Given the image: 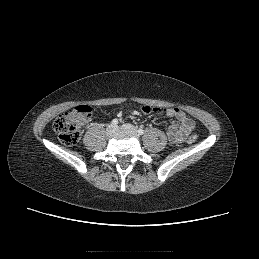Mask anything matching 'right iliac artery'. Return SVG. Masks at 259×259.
Segmentation results:
<instances>
[{"label":"right iliac artery","mask_w":259,"mask_h":259,"mask_svg":"<svg viewBox=\"0 0 259 259\" xmlns=\"http://www.w3.org/2000/svg\"><path fill=\"white\" fill-rule=\"evenodd\" d=\"M111 123L112 125L116 126L118 124V119H113Z\"/></svg>","instance_id":"obj_1"}]
</instances>
